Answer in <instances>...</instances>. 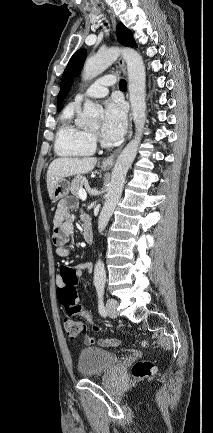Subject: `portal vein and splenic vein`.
Segmentation results:
<instances>
[{
    "label": "portal vein and splenic vein",
    "mask_w": 213,
    "mask_h": 433,
    "mask_svg": "<svg viewBox=\"0 0 213 433\" xmlns=\"http://www.w3.org/2000/svg\"><path fill=\"white\" fill-rule=\"evenodd\" d=\"M79 198L81 199V200H86V198H87V193H86V191H85V189H83V188H81L80 190H79Z\"/></svg>",
    "instance_id": "obj_1"
}]
</instances>
